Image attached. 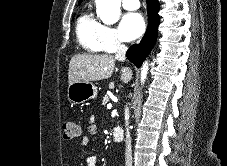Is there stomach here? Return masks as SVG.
Instances as JSON below:
<instances>
[{"label":"stomach","instance_id":"stomach-1","mask_svg":"<svg viewBox=\"0 0 227 166\" xmlns=\"http://www.w3.org/2000/svg\"><path fill=\"white\" fill-rule=\"evenodd\" d=\"M97 96V87L91 82L76 81L68 86L67 97L74 104H82Z\"/></svg>","mask_w":227,"mask_h":166}]
</instances>
